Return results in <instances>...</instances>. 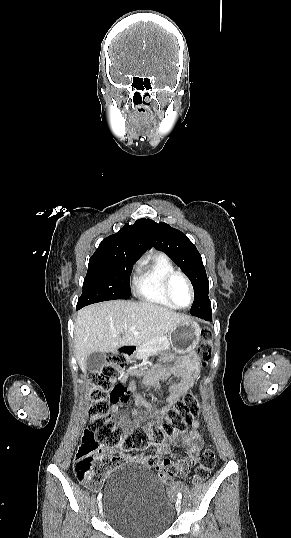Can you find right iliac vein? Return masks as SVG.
Instances as JSON below:
<instances>
[{"label":"right iliac vein","mask_w":291,"mask_h":538,"mask_svg":"<svg viewBox=\"0 0 291 538\" xmlns=\"http://www.w3.org/2000/svg\"><path fill=\"white\" fill-rule=\"evenodd\" d=\"M98 507H99V511L101 512L102 511V502L101 501L99 502Z\"/></svg>","instance_id":"63e3f726"}]
</instances>
